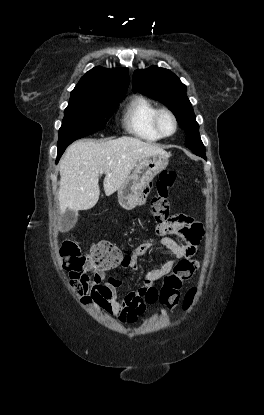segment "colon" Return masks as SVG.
<instances>
[{"instance_id":"5ec220e1","label":"colon","mask_w":264,"mask_h":415,"mask_svg":"<svg viewBox=\"0 0 264 415\" xmlns=\"http://www.w3.org/2000/svg\"><path fill=\"white\" fill-rule=\"evenodd\" d=\"M177 182V174L173 170H164L159 174L157 181V192L151 200V210L157 222L160 231H165L163 225L170 220L169 204L167 201L168 191L172 189ZM124 254L112 242L97 243L88 253L82 255L77 244L74 241H64L59 250V259L61 267L69 272L70 276L80 274L86 270H96L109 268L119 263ZM198 265L197 260L181 261L177 263L173 271L167 274L162 281L160 289L151 288L147 292L146 302L153 305L159 301L161 304L174 307L179 302L180 289L182 281L187 274L194 270ZM71 284L78 293L83 292L79 282L72 279ZM195 299V290H190L183 301V309L189 310Z\"/></svg>"}]
</instances>
